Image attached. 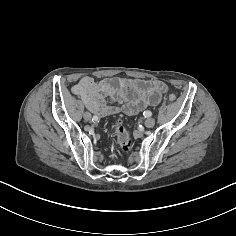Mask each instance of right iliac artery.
Masks as SVG:
<instances>
[{
    "label": "right iliac artery",
    "instance_id": "obj_1",
    "mask_svg": "<svg viewBox=\"0 0 236 236\" xmlns=\"http://www.w3.org/2000/svg\"><path fill=\"white\" fill-rule=\"evenodd\" d=\"M93 121H98V117L97 116H93V119H92Z\"/></svg>",
    "mask_w": 236,
    "mask_h": 236
}]
</instances>
